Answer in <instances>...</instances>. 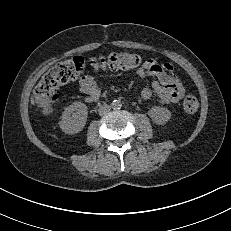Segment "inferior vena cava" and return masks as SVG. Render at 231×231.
<instances>
[{
  "mask_svg": "<svg viewBox=\"0 0 231 231\" xmlns=\"http://www.w3.org/2000/svg\"><path fill=\"white\" fill-rule=\"evenodd\" d=\"M110 110H111V106L104 104V105L99 107V114L100 115H106L110 112Z\"/></svg>",
  "mask_w": 231,
  "mask_h": 231,
  "instance_id": "1",
  "label": "inferior vena cava"
}]
</instances>
